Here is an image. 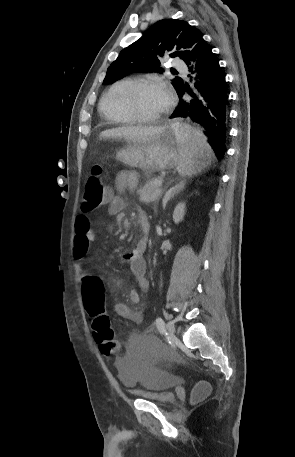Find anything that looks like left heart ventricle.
<instances>
[{
  "label": "left heart ventricle",
  "instance_id": "obj_1",
  "mask_svg": "<svg viewBox=\"0 0 295 457\" xmlns=\"http://www.w3.org/2000/svg\"><path fill=\"white\" fill-rule=\"evenodd\" d=\"M138 111L145 116H156L163 112L167 105L159 91V85L141 90L136 97Z\"/></svg>",
  "mask_w": 295,
  "mask_h": 457
}]
</instances>
